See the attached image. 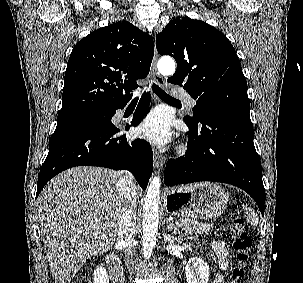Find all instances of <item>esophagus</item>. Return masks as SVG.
<instances>
[{
  "label": "esophagus",
  "mask_w": 303,
  "mask_h": 283,
  "mask_svg": "<svg viewBox=\"0 0 303 283\" xmlns=\"http://www.w3.org/2000/svg\"><path fill=\"white\" fill-rule=\"evenodd\" d=\"M157 60H158V54H157V50L155 47L154 58H153L152 65H151V75L155 82H157L159 85H163L164 79L157 71ZM153 153H154L155 168H157V169L162 168L163 165L165 164V157L162 154H160L157 150H154Z\"/></svg>",
  "instance_id": "1"
}]
</instances>
